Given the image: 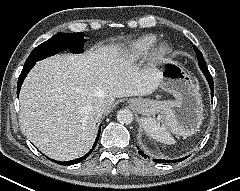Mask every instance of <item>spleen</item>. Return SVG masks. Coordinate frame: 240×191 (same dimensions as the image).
Returning a JSON list of instances; mask_svg holds the SVG:
<instances>
[{"label":"spleen","mask_w":240,"mask_h":191,"mask_svg":"<svg viewBox=\"0 0 240 191\" xmlns=\"http://www.w3.org/2000/svg\"><path fill=\"white\" fill-rule=\"evenodd\" d=\"M144 129L149 136L164 144H174L175 140L172 137L169 129L175 133L170 124L163 118L162 115H158L157 118L149 117L144 119ZM176 134V133H175Z\"/></svg>","instance_id":"spleen-1"}]
</instances>
